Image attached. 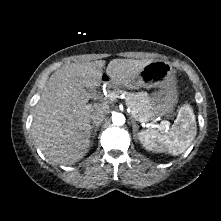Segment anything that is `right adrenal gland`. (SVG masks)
Returning a JSON list of instances; mask_svg holds the SVG:
<instances>
[{
	"instance_id": "2a0ac1e0",
	"label": "right adrenal gland",
	"mask_w": 221,
	"mask_h": 221,
	"mask_svg": "<svg viewBox=\"0 0 221 221\" xmlns=\"http://www.w3.org/2000/svg\"><path fill=\"white\" fill-rule=\"evenodd\" d=\"M99 126H100V122L93 123V125L91 126V132H92L93 138L97 135V131H98Z\"/></svg>"
}]
</instances>
